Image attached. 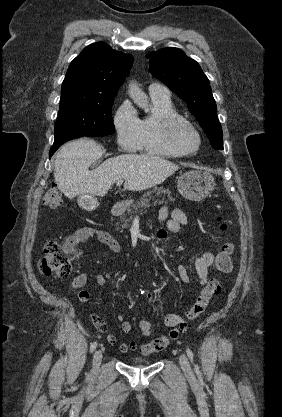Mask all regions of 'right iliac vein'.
Listing matches in <instances>:
<instances>
[{
  "label": "right iliac vein",
  "mask_w": 282,
  "mask_h": 417,
  "mask_svg": "<svg viewBox=\"0 0 282 417\" xmlns=\"http://www.w3.org/2000/svg\"><path fill=\"white\" fill-rule=\"evenodd\" d=\"M101 360H102V351L101 350H96L94 355H93V370L98 369V367L101 364Z\"/></svg>",
  "instance_id": "right-iliac-vein-1"
}]
</instances>
